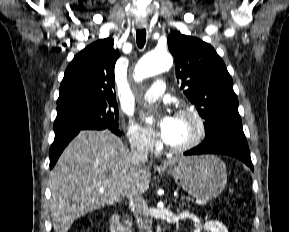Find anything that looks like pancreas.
Instances as JSON below:
<instances>
[{
    "label": "pancreas",
    "instance_id": "pancreas-1",
    "mask_svg": "<svg viewBox=\"0 0 289 232\" xmlns=\"http://www.w3.org/2000/svg\"><path fill=\"white\" fill-rule=\"evenodd\" d=\"M126 225H128V227L130 228L132 223L130 221H126Z\"/></svg>",
    "mask_w": 289,
    "mask_h": 232
}]
</instances>
